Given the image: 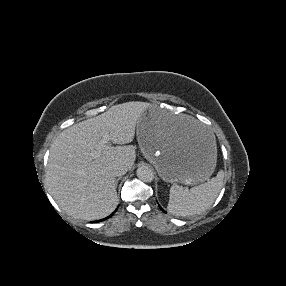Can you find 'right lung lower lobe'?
Here are the masks:
<instances>
[{"mask_svg": "<svg viewBox=\"0 0 286 286\" xmlns=\"http://www.w3.org/2000/svg\"><path fill=\"white\" fill-rule=\"evenodd\" d=\"M113 214H114V213H112L110 216H108V217H106V218H104V219H102V220H99V221H103V220H105V219L111 217ZM99 221H97V222H99Z\"/></svg>", "mask_w": 286, "mask_h": 286, "instance_id": "obj_1", "label": "right lung lower lobe"}]
</instances>
